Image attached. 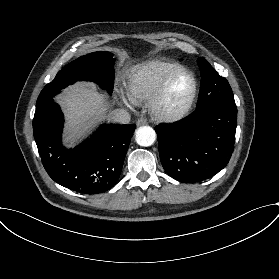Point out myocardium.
<instances>
[{"instance_id":"myocardium-1","label":"myocardium","mask_w":279,"mask_h":279,"mask_svg":"<svg viewBox=\"0 0 279 279\" xmlns=\"http://www.w3.org/2000/svg\"><path fill=\"white\" fill-rule=\"evenodd\" d=\"M181 74H188L192 78L193 87L188 99L176 110L168 111L164 108L168 91L173 81ZM198 94V80L195 74L188 69H181L169 75L159 86L150 99L149 108L152 116L163 123H176L183 120L192 109Z\"/></svg>"}]
</instances>
